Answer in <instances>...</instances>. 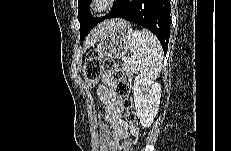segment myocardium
Instances as JSON below:
<instances>
[{
	"label": "myocardium",
	"mask_w": 231,
	"mask_h": 151,
	"mask_svg": "<svg viewBox=\"0 0 231 151\" xmlns=\"http://www.w3.org/2000/svg\"><path fill=\"white\" fill-rule=\"evenodd\" d=\"M114 1L112 0H94L90 2V12L93 14H99L106 11L110 4Z\"/></svg>",
	"instance_id": "f54148a6"
}]
</instances>
